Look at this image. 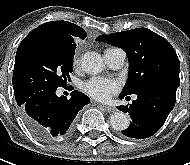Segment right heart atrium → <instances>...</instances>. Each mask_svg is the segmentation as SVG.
Returning a JSON list of instances; mask_svg holds the SVG:
<instances>
[{
	"instance_id": "right-heart-atrium-1",
	"label": "right heart atrium",
	"mask_w": 190,
	"mask_h": 165,
	"mask_svg": "<svg viewBox=\"0 0 190 165\" xmlns=\"http://www.w3.org/2000/svg\"><path fill=\"white\" fill-rule=\"evenodd\" d=\"M80 63V53H76L73 57V65L77 66Z\"/></svg>"
}]
</instances>
